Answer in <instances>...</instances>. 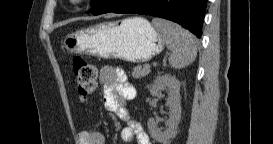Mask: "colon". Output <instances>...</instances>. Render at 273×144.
<instances>
[{
	"label": "colon",
	"mask_w": 273,
	"mask_h": 144,
	"mask_svg": "<svg viewBox=\"0 0 273 144\" xmlns=\"http://www.w3.org/2000/svg\"><path fill=\"white\" fill-rule=\"evenodd\" d=\"M73 71L77 83L78 94L81 100L89 98L96 88V67L81 57L73 60Z\"/></svg>",
	"instance_id": "obj_1"
}]
</instances>
